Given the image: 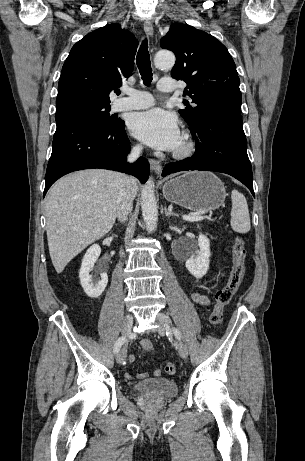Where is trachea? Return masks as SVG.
I'll return each instance as SVG.
<instances>
[{
	"mask_svg": "<svg viewBox=\"0 0 305 461\" xmlns=\"http://www.w3.org/2000/svg\"><path fill=\"white\" fill-rule=\"evenodd\" d=\"M136 63L142 77L144 85H150L152 81V68L150 62V55L148 52L147 39L143 40L137 54Z\"/></svg>",
	"mask_w": 305,
	"mask_h": 461,
	"instance_id": "trachea-1",
	"label": "trachea"
}]
</instances>
